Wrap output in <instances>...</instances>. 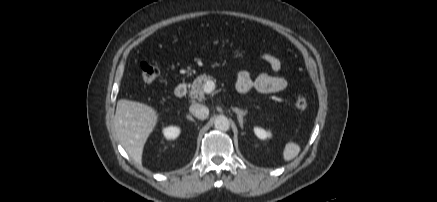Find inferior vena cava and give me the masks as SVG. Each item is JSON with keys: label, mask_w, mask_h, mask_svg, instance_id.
Listing matches in <instances>:
<instances>
[{"label": "inferior vena cava", "mask_w": 437, "mask_h": 202, "mask_svg": "<svg viewBox=\"0 0 437 202\" xmlns=\"http://www.w3.org/2000/svg\"><path fill=\"white\" fill-rule=\"evenodd\" d=\"M190 113L198 119L204 120L208 117L209 109L199 103H194L189 108Z\"/></svg>", "instance_id": "inferior-vena-cava-1"}]
</instances>
